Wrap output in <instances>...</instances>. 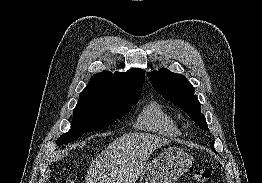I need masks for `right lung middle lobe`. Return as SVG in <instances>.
<instances>
[{
	"label": "right lung middle lobe",
	"mask_w": 262,
	"mask_h": 183,
	"mask_svg": "<svg viewBox=\"0 0 262 183\" xmlns=\"http://www.w3.org/2000/svg\"><path fill=\"white\" fill-rule=\"evenodd\" d=\"M138 99L102 100L79 98L73 111L71 129L57 139V145L69 143L86 132L106 129L114 121L129 113Z\"/></svg>",
	"instance_id": "right-lung-middle-lobe-1"
}]
</instances>
